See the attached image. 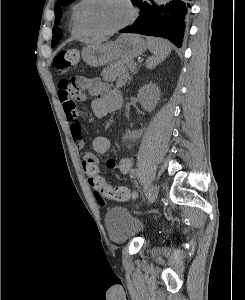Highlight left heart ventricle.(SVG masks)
Wrapping results in <instances>:
<instances>
[{"label":"left heart ventricle","instance_id":"1","mask_svg":"<svg viewBox=\"0 0 245 300\" xmlns=\"http://www.w3.org/2000/svg\"><path fill=\"white\" fill-rule=\"evenodd\" d=\"M129 15L123 0H92L84 9L83 20L91 31H105L122 24Z\"/></svg>","mask_w":245,"mask_h":300}]
</instances>
